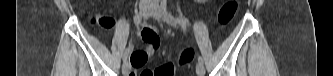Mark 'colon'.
I'll use <instances>...</instances> for the list:
<instances>
[{
	"label": "colon",
	"instance_id": "colon-1",
	"mask_svg": "<svg viewBox=\"0 0 333 76\" xmlns=\"http://www.w3.org/2000/svg\"><path fill=\"white\" fill-rule=\"evenodd\" d=\"M238 10V1L231 0L224 3L218 13V22L222 26H226L231 22ZM194 58V52L191 49L184 50L180 55L179 64L185 65L191 62ZM131 75H135L132 73ZM175 66L171 62L164 63L154 70L141 72L140 76H174Z\"/></svg>",
	"mask_w": 333,
	"mask_h": 76
}]
</instances>
